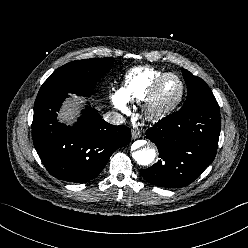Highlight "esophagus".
<instances>
[{
    "label": "esophagus",
    "instance_id": "esophagus-1",
    "mask_svg": "<svg viewBox=\"0 0 248 248\" xmlns=\"http://www.w3.org/2000/svg\"><path fill=\"white\" fill-rule=\"evenodd\" d=\"M131 134H132V139H134V140L141 137L140 132H138L136 130H132V133Z\"/></svg>",
    "mask_w": 248,
    "mask_h": 248
}]
</instances>
